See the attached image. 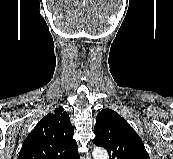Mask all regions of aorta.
Instances as JSON below:
<instances>
[{"label":"aorta","mask_w":173,"mask_h":159,"mask_svg":"<svg viewBox=\"0 0 173 159\" xmlns=\"http://www.w3.org/2000/svg\"><path fill=\"white\" fill-rule=\"evenodd\" d=\"M93 159H108V153L103 148H96L93 151Z\"/></svg>","instance_id":"obj_1"}]
</instances>
